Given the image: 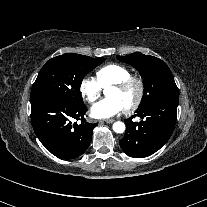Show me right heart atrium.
Returning a JSON list of instances; mask_svg holds the SVG:
<instances>
[{
    "label": "right heart atrium",
    "mask_w": 207,
    "mask_h": 207,
    "mask_svg": "<svg viewBox=\"0 0 207 207\" xmlns=\"http://www.w3.org/2000/svg\"><path fill=\"white\" fill-rule=\"evenodd\" d=\"M79 90L86 101L94 102L99 98L102 87L94 77L88 76L81 80Z\"/></svg>",
    "instance_id": "obj_1"
}]
</instances>
